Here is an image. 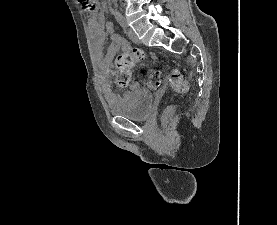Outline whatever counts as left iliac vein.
Wrapping results in <instances>:
<instances>
[{"label": "left iliac vein", "instance_id": "1", "mask_svg": "<svg viewBox=\"0 0 277 225\" xmlns=\"http://www.w3.org/2000/svg\"><path fill=\"white\" fill-rule=\"evenodd\" d=\"M127 35L128 37L134 42V43H139V39L136 35V33L132 29L127 30Z\"/></svg>", "mask_w": 277, "mask_h": 225}]
</instances>
